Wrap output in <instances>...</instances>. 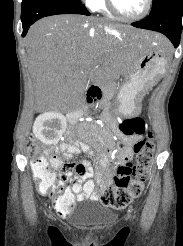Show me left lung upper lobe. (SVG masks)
<instances>
[{"mask_svg": "<svg viewBox=\"0 0 183 246\" xmlns=\"http://www.w3.org/2000/svg\"><path fill=\"white\" fill-rule=\"evenodd\" d=\"M167 0H153L151 12L158 9Z\"/></svg>", "mask_w": 183, "mask_h": 246, "instance_id": "obj_1", "label": "left lung upper lobe"}]
</instances>
